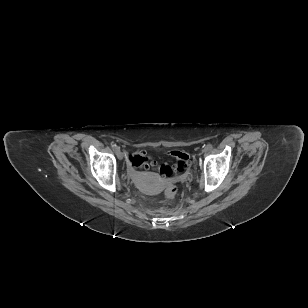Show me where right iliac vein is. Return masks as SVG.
Wrapping results in <instances>:
<instances>
[{"label":"right iliac vein","mask_w":308,"mask_h":308,"mask_svg":"<svg viewBox=\"0 0 308 308\" xmlns=\"http://www.w3.org/2000/svg\"><path fill=\"white\" fill-rule=\"evenodd\" d=\"M115 153L117 155V157L121 160L123 159V154L122 152L120 151V149L118 148L117 150H115Z\"/></svg>","instance_id":"obj_1"}]
</instances>
